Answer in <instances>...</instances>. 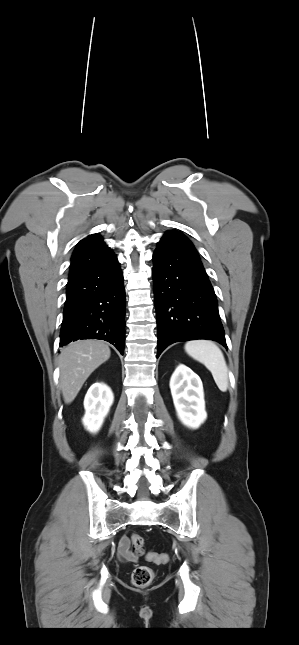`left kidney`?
<instances>
[{
    "instance_id": "5707ae66",
    "label": "left kidney",
    "mask_w": 299,
    "mask_h": 645,
    "mask_svg": "<svg viewBox=\"0 0 299 645\" xmlns=\"http://www.w3.org/2000/svg\"><path fill=\"white\" fill-rule=\"evenodd\" d=\"M170 389L179 420L189 428H198L207 418L199 376L180 364L170 379Z\"/></svg>"
}]
</instances>
